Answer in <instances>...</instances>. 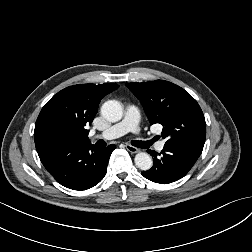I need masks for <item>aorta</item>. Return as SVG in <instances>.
<instances>
[{"instance_id":"762f6f07","label":"aorta","mask_w":252,"mask_h":252,"mask_svg":"<svg viewBox=\"0 0 252 252\" xmlns=\"http://www.w3.org/2000/svg\"><path fill=\"white\" fill-rule=\"evenodd\" d=\"M101 114L109 122H118L123 116V107L118 101L108 100L102 105ZM134 161L141 170H149L153 164L151 156L145 152L137 153Z\"/></svg>"}]
</instances>
